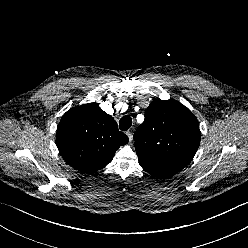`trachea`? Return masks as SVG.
Segmentation results:
<instances>
[{"label": "trachea", "mask_w": 248, "mask_h": 248, "mask_svg": "<svg viewBox=\"0 0 248 248\" xmlns=\"http://www.w3.org/2000/svg\"><path fill=\"white\" fill-rule=\"evenodd\" d=\"M132 125V118L129 115H125L120 119L119 127L120 130L126 131L128 130Z\"/></svg>", "instance_id": "1"}]
</instances>
